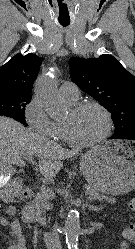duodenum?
<instances>
[{
	"label": "duodenum",
	"instance_id": "410a0bca",
	"mask_svg": "<svg viewBox=\"0 0 135 249\" xmlns=\"http://www.w3.org/2000/svg\"><path fill=\"white\" fill-rule=\"evenodd\" d=\"M5 198L11 199L15 195H17L20 198L28 199L33 196V191L29 187H21L18 189H13V188H7L4 190L3 193Z\"/></svg>",
	"mask_w": 135,
	"mask_h": 249
}]
</instances>
